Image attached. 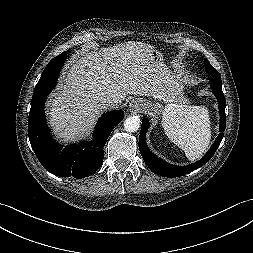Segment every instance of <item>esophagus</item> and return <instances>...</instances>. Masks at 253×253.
Masks as SVG:
<instances>
[{"mask_svg": "<svg viewBox=\"0 0 253 253\" xmlns=\"http://www.w3.org/2000/svg\"><path fill=\"white\" fill-rule=\"evenodd\" d=\"M143 109L142 104L138 103L137 101H131L129 103V111L130 112H139Z\"/></svg>", "mask_w": 253, "mask_h": 253, "instance_id": "esophagus-1", "label": "esophagus"}]
</instances>
